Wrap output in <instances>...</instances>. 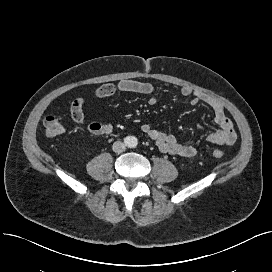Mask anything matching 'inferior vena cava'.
I'll list each match as a JSON object with an SVG mask.
<instances>
[{
  "mask_svg": "<svg viewBox=\"0 0 272 272\" xmlns=\"http://www.w3.org/2000/svg\"><path fill=\"white\" fill-rule=\"evenodd\" d=\"M112 149L116 153H122L126 149V145L121 141H116L113 143Z\"/></svg>",
  "mask_w": 272,
  "mask_h": 272,
  "instance_id": "1",
  "label": "inferior vena cava"
}]
</instances>
